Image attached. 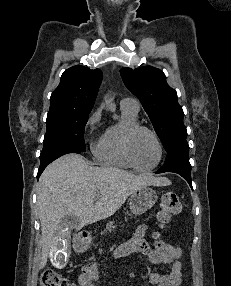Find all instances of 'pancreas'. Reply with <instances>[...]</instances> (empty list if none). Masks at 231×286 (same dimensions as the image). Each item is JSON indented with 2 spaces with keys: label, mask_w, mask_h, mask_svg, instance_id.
Returning a JSON list of instances; mask_svg holds the SVG:
<instances>
[{
  "label": "pancreas",
  "mask_w": 231,
  "mask_h": 286,
  "mask_svg": "<svg viewBox=\"0 0 231 286\" xmlns=\"http://www.w3.org/2000/svg\"><path fill=\"white\" fill-rule=\"evenodd\" d=\"M116 228V226L114 225V221H110L109 223H107L106 225V229L104 231L101 232V234H106V233H111L114 229Z\"/></svg>",
  "instance_id": "pancreas-1"
}]
</instances>
